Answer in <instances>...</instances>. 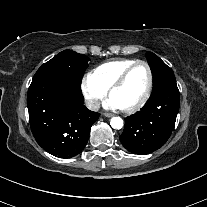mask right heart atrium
I'll use <instances>...</instances> for the list:
<instances>
[{
	"mask_svg": "<svg viewBox=\"0 0 207 207\" xmlns=\"http://www.w3.org/2000/svg\"><path fill=\"white\" fill-rule=\"evenodd\" d=\"M82 94L91 109H96L101 100L107 95V90L97 84L90 75L85 76L81 81Z\"/></svg>",
	"mask_w": 207,
	"mask_h": 207,
	"instance_id": "d8ad5b80",
	"label": "right heart atrium"
}]
</instances>
